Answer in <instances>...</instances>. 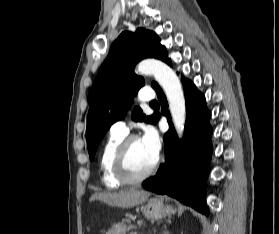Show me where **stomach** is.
Segmentation results:
<instances>
[{"label": "stomach", "instance_id": "0dacf381", "mask_svg": "<svg viewBox=\"0 0 279 234\" xmlns=\"http://www.w3.org/2000/svg\"><path fill=\"white\" fill-rule=\"evenodd\" d=\"M141 210L146 218L155 220L169 215L172 211L170 206H165L161 201L154 199L142 206ZM126 230L127 226L125 223H115L106 234H124Z\"/></svg>", "mask_w": 279, "mask_h": 234}]
</instances>
